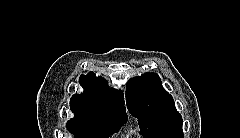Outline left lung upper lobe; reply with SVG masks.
<instances>
[{
    "instance_id": "obj_1",
    "label": "left lung upper lobe",
    "mask_w": 240,
    "mask_h": 138,
    "mask_svg": "<svg viewBox=\"0 0 240 138\" xmlns=\"http://www.w3.org/2000/svg\"><path fill=\"white\" fill-rule=\"evenodd\" d=\"M126 102L129 112L150 138H183V120L172 96L163 88L156 73H144L127 83Z\"/></svg>"
}]
</instances>
